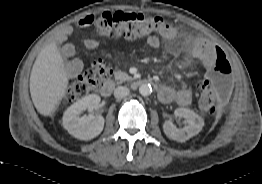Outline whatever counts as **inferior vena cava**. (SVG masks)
<instances>
[{"label": "inferior vena cava", "instance_id": "inferior-vena-cava-1", "mask_svg": "<svg viewBox=\"0 0 262 184\" xmlns=\"http://www.w3.org/2000/svg\"><path fill=\"white\" fill-rule=\"evenodd\" d=\"M129 89L127 87L124 86H118L115 90H114V96L115 98H124L126 96L129 95Z\"/></svg>", "mask_w": 262, "mask_h": 184}]
</instances>
